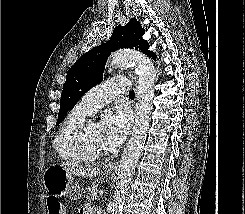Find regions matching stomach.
Returning <instances> with one entry per match:
<instances>
[{
	"mask_svg": "<svg viewBox=\"0 0 245 214\" xmlns=\"http://www.w3.org/2000/svg\"><path fill=\"white\" fill-rule=\"evenodd\" d=\"M107 174H111L107 170ZM45 189L56 196L66 195L71 200H78L82 197L83 188L74 184L72 173L57 165H50L43 174Z\"/></svg>",
	"mask_w": 245,
	"mask_h": 214,
	"instance_id": "0dacf381",
	"label": "stomach"
}]
</instances>
